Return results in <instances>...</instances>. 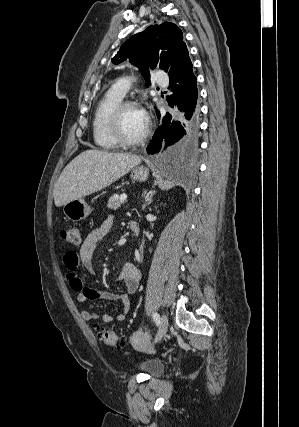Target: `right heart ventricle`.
<instances>
[{
  "label": "right heart ventricle",
  "instance_id": "e07e8e85",
  "mask_svg": "<svg viewBox=\"0 0 299 427\" xmlns=\"http://www.w3.org/2000/svg\"><path fill=\"white\" fill-rule=\"evenodd\" d=\"M123 99V96L109 89L98 101L92 119V136L97 148L105 151L115 150L118 145L108 132V117L112 109Z\"/></svg>",
  "mask_w": 299,
  "mask_h": 427
}]
</instances>
